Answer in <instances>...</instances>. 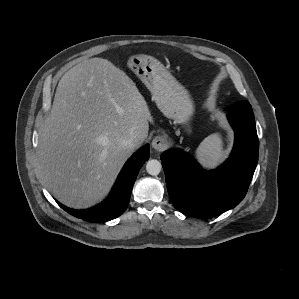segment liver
Returning <instances> with one entry per match:
<instances>
[{"label": "liver", "instance_id": "obj_1", "mask_svg": "<svg viewBox=\"0 0 299 299\" xmlns=\"http://www.w3.org/2000/svg\"><path fill=\"white\" fill-rule=\"evenodd\" d=\"M151 114L126 73L109 60L90 58L60 79L38 147L45 186L62 204L85 209L110 190L134 149L147 138Z\"/></svg>", "mask_w": 299, "mask_h": 299}]
</instances>
